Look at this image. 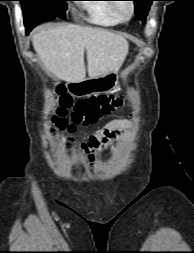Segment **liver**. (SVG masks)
Segmentation results:
<instances>
[{"mask_svg": "<svg viewBox=\"0 0 194 253\" xmlns=\"http://www.w3.org/2000/svg\"><path fill=\"white\" fill-rule=\"evenodd\" d=\"M32 42L45 69L69 83L86 77L85 50L88 76L94 78L118 71L129 49L127 40L121 35L74 24L39 27Z\"/></svg>", "mask_w": 194, "mask_h": 253, "instance_id": "liver-1", "label": "liver"}]
</instances>
